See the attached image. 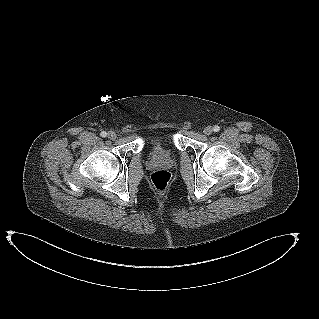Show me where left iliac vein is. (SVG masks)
I'll list each match as a JSON object with an SVG mask.
<instances>
[{
  "mask_svg": "<svg viewBox=\"0 0 319 319\" xmlns=\"http://www.w3.org/2000/svg\"><path fill=\"white\" fill-rule=\"evenodd\" d=\"M203 132L205 135H210L213 132V128L211 126H207Z\"/></svg>",
  "mask_w": 319,
  "mask_h": 319,
  "instance_id": "obj_1",
  "label": "left iliac vein"
}]
</instances>
